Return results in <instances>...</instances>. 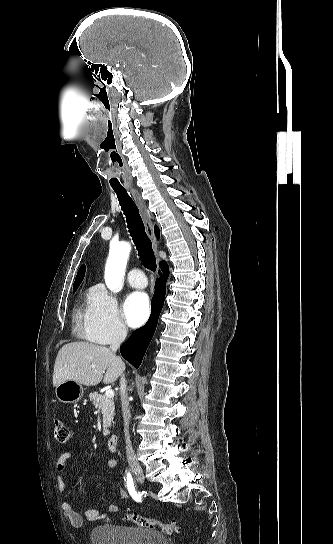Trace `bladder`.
Wrapping results in <instances>:
<instances>
[{
    "instance_id": "obj_1",
    "label": "bladder",
    "mask_w": 333,
    "mask_h": 544,
    "mask_svg": "<svg viewBox=\"0 0 333 544\" xmlns=\"http://www.w3.org/2000/svg\"><path fill=\"white\" fill-rule=\"evenodd\" d=\"M91 544H169L166 536L152 529L108 524L94 528Z\"/></svg>"
}]
</instances>
